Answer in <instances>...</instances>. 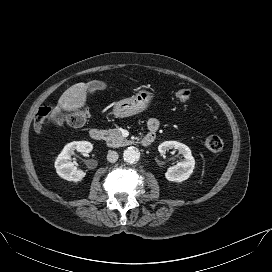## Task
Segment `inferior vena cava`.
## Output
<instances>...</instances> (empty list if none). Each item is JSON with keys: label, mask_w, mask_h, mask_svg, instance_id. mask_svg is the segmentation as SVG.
Masks as SVG:
<instances>
[{"label": "inferior vena cava", "mask_w": 272, "mask_h": 272, "mask_svg": "<svg viewBox=\"0 0 272 272\" xmlns=\"http://www.w3.org/2000/svg\"><path fill=\"white\" fill-rule=\"evenodd\" d=\"M118 153L116 151H109L107 154V160L111 163H115L118 160Z\"/></svg>", "instance_id": "602c4592"}]
</instances>
